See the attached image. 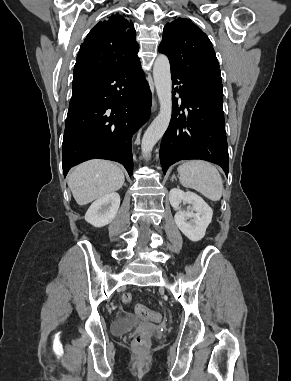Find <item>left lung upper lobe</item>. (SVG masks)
<instances>
[{"label":"left lung upper lobe","instance_id":"left-lung-upper-lobe-1","mask_svg":"<svg viewBox=\"0 0 291 381\" xmlns=\"http://www.w3.org/2000/svg\"><path fill=\"white\" fill-rule=\"evenodd\" d=\"M159 52L167 55L171 70L204 87L222 88L219 64L211 41L191 20L167 23Z\"/></svg>","mask_w":291,"mask_h":381}]
</instances>
